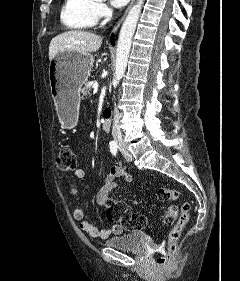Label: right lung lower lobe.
Wrapping results in <instances>:
<instances>
[{
    "mask_svg": "<svg viewBox=\"0 0 240 281\" xmlns=\"http://www.w3.org/2000/svg\"><path fill=\"white\" fill-rule=\"evenodd\" d=\"M114 36L112 35L111 37V43L114 45V40H113Z\"/></svg>",
    "mask_w": 240,
    "mask_h": 281,
    "instance_id": "right-lung-lower-lobe-1",
    "label": "right lung lower lobe"
}]
</instances>
